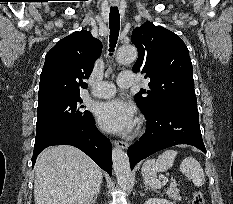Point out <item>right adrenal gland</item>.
I'll return each mask as SVG.
<instances>
[{"instance_id":"right-adrenal-gland-1","label":"right adrenal gland","mask_w":233,"mask_h":204,"mask_svg":"<svg viewBox=\"0 0 233 204\" xmlns=\"http://www.w3.org/2000/svg\"><path fill=\"white\" fill-rule=\"evenodd\" d=\"M97 196H98V193L95 195V197L93 198L92 202L90 204H95L96 200H97Z\"/></svg>"}]
</instances>
